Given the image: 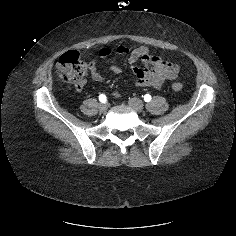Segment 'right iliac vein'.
I'll use <instances>...</instances> for the list:
<instances>
[{"mask_svg":"<svg viewBox=\"0 0 236 236\" xmlns=\"http://www.w3.org/2000/svg\"><path fill=\"white\" fill-rule=\"evenodd\" d=\"M98 108H99L100 112H106L107 109H108V104L107 103H102V104L99 105Z\"/></svg>","mask_w":236,"mask_h":236,"instance_id":"63e3f726","label":"right iliac vein"}]
</instances>
